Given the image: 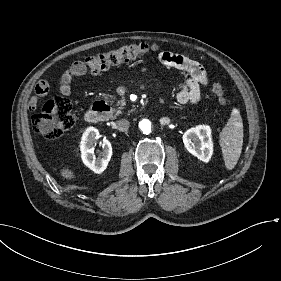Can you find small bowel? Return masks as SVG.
<instances>
[{
	"label": "small bowel",
	"instance_id": "c3829d8e",
	"mask_svg": "<svg viewBox=\"0 0 281 281\" xmlns=\"http://www.w3.org/2000/svg\"><path fill=\"white\" fill-rule=\"evenodd\" d=\"M159 61L166 67L184 71L189 74V78L181 87L177 95L179 104L196 103L201 96V88L208 84V77L205 68L198 61L178 53L165 51L159 55ZM86 69L82 62H75L68 70H66L60 79L59 92L62 95H69L71 92V82L75 77L84 75ZM34 92L28 108L34 111L37 104L40 103V96L47 95L50 92L51 86L47 80L40 79L34 83ZM40 95V96H39Z\"/></svg>",
	"mask_w": 281,
	"mask_h": 281
}]
</instances>
